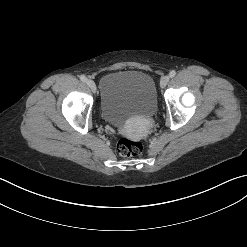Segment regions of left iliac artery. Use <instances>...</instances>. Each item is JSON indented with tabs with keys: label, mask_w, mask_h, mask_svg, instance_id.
<instances>
[{
	"label": "left iliac artery",
	"mask_w": 247,
	"mask_h": 247,
	"mask_svg": "<svg viewBox=\"0 0 247 247\" xmlns=\"http://www.w3.org/2000/svg\"><path fill=\"white\" fill-rule=\"evenodd\" d=\"M176 75V71L175 70H172L170 73H169V76L172 78Z\"/></svg>",
	"instance_id": "1"
}]
</instances>
